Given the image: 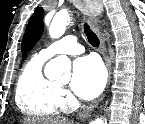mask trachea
Masks as SVG:
<instances>
[{
	"label": "trachea",
	"instance_id": "1",
	"mask_svg": "<svg viewBox=\"0 0 145 124\" xmlns=\"http://www.w3.org/2000/svg\"><path fill=\"white\" fill-rule=\"evenodd\" d=\"M84 32L87 35L88 41L92 46L96 47L99 45V39L97 35L90 29L87 23L84 24Z\"/></svg>",
	"mask_w": 145,
	"mask_h": 124
}]
</instances>
